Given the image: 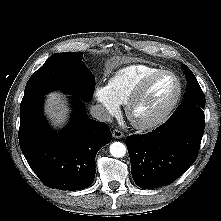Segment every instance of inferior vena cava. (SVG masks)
Here are the masks:
<instances>
[{
  "instance_id": "inferior-vena-cava-1",
  "label": "inferior vena cava",
  "mask_w": 221,
  "mask_h": 221,
  "mask_svg": "<svg viewBox=\"0 0 221 221\" xmlns=\"http://www.w3.org/2000/svg\"><path fill=\"white\" fill-rule=\"evenodd\" d=\"M90 114L92 117L96 118L101 122H110L112 121L111 115L107 112V110L102 105H94L90 108Z\"/></svg>"
}]
</instances>
